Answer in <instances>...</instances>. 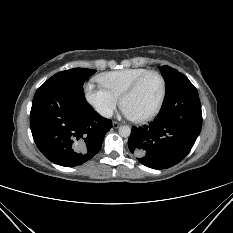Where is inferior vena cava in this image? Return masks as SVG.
<instances>
[{
  "instance_id": "602c4592",
  "label": "inferior vena cava",
  "mask_w": 233,
  "mask_h": 233,
  "mask_svg": "<svg viewBox=\"0 0 233 233\" xmlns=\"http://www.w3.org/2000/svg\"><path fill=\"white\" fill-rule=\"evenodd\" d=\"M101 115L106 117V118H111L113 115V112L109 109H105L101 112Z\"/></svg>"
}]
</instances>
